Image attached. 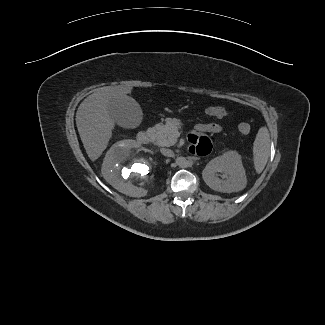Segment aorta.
<instances>
[{
	"mask_svg": "<svg viewBox=\"0 0 325 325\" xmlns=\"http://www.w3.org/2000/svg\"><path fill=\"white\" fill-rule=\"evenodd\" d=\"M176 162L182 168H185L188 166V161L185 157H178Z\"/></svg>",
	"mask_w": 325,
	"mask_h": 325,
	"instance_id": "762f6f07",
	"label": "aorta"
}]
</instances>
